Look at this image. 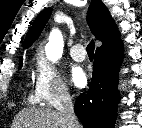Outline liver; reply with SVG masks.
I'll return each instance as SVG.
<instances>
[{
  "label": "liver",
  "instance_id": "obj_1",
  "mask_svg": "<svg viewBox=\"0 0 142 128\" xmlns=\"http://www.w3.org/2000/svg\"><path fill=\"white\" fill-rule=\"evenodd\" d=\"M12 128H67V123L58 111L51 108H26L20 111Z\"/></svg>",
  "mask_w": 142,
  "mask_h": 128
}]
</instances>
